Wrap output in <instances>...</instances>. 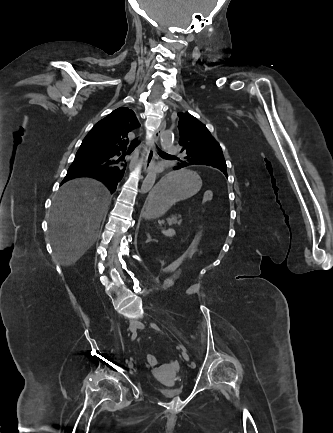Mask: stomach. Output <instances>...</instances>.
I'll list each match as a JSON object with an SVG mask.
<instances>
[{
  "label": "stomach",
  "mask_w": 333,
  "mask_h": 433,
  "mask_svg": "<svg viewBox=\"0 0 333 433\" xmlns=\"http://www.w3.org/2000/svg\"><path fill=\"white\" fill-rule=\"evenodd\" d=\"M198 169H170L169 174L160 176L159 183L151 186L144 206V220H163L168 210L182 199H192L201 188Z\"/></svg>",
  "instance_id": "stomach-1"
}]
</instances>
